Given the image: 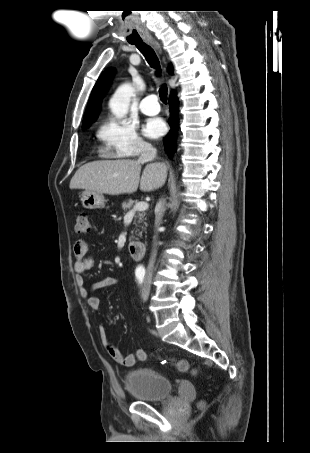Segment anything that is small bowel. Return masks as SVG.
<instances>
[{
	"label": "small bowel",
	"instance_id": "c3829d8e",
	"mask_svg": "<svg viewBox=\"0 0 310 453\" xmlns=\"http://www.w3.org/2000/svg\"><path fill=\"white\" fill-rule=\"evenodd\" d=\"M74 262L73 269L75 272L76 284L79 288L80 295L86 298L89 306L93 310H99L101 306L100 299L91 294L97 290L110 288L116 285L117 279L111 276L104 277L93 282L89 287L85 286L84 273L93 266V258L90 255L89 244L85 240L76 241L73 249ZM100 341L107 354L118 364L125 367H132L137 362L146 360V352L143 349H137L131 354H123L108 339L104 326L98 327Z\"/></svg>",
	"mask_w": 310,
	"mask_h": 453
}]
</instances>
